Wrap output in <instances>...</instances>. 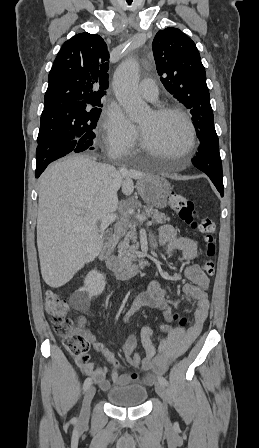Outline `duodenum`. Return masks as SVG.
<instances>
[{
    "instance_id": "410a0bca",
    "label": "duodenum",
    "mask_w": 259,
    "mask_h": 448,
    "mask_svg": "<svg viewBox=\"0 0 259 448\" xmlns=\"http://www.w3.org/2000/svg\"><path fill=\"white\" fill-rule=\"evenodd\" d=\"M117 240L118 236L116 234H113L108 238L102 247L100 260L104 262L111 272H113L117 279L127 280L139 274L144 268V263L137 261L126 264L113 256V250Z\"/></svg>"
}]
</instances>
